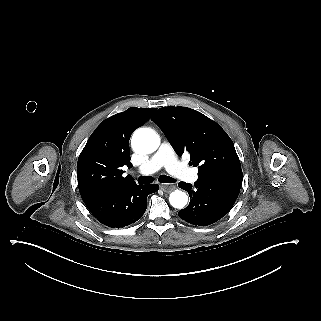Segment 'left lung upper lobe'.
<instances>
[{
	"instance_id": "obj_1",
	"label": "left lung upper lobe",
	"mask_w": 321,
	"mask_h": 321,
	"mask_svg": "<svg viewBox=\"0 0 321 321\" xmlns=\"http://www.w3.org/2000/svg\"><path fill=\"white\" fill-rule=\"evenodd\" d=\"M151 119L180 155L190 153V164L198 166V175L241 169L230 137L202 113L188 107H162Z\"/></svg>"
}]
</instances>
